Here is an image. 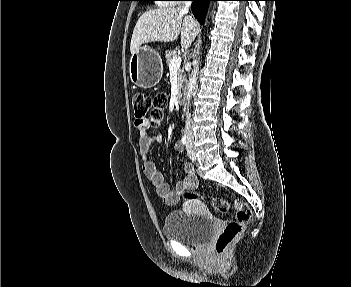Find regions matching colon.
Here are the masks:
<instances>
[{
	"mask_svg": "<svg viewBox=\"0 0 351 287\" xmlns=\"http://www.w3.org/2000/svg\"><path fill=\"white\" fill-rule=\"evenodd\" d=\"M133 107L136 120H149L151 126H158L163 119V112L167 105V97L164 93L154 95L145 94L143 92H135L132 97ZM187 199H193L194 196L190 192H186ZM213 207L221 212L226 213L230 210V203L222 198H213L211 200ZM236 209L235 220L229 221L215 242V248L218 253H223L231 245V243L243 232L244 226L252 217L250 207L242 202H234Z\"/></svg>",
	"mask_w": 351,
	"mask_h": 287,
	"instance_id": "colon-1",
	"label": "colon"
}]
</instances>
